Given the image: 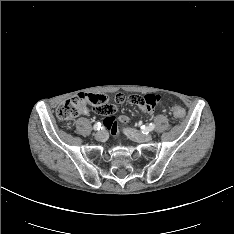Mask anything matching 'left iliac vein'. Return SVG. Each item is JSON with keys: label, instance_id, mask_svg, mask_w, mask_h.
<instances>
[{"label": "left iliac vein", "instance_id": "obj_1", "mask_svg": "<svg viewBox=\"0 0 234 234\" xmlns=\"http://www.w3.org/2000/svg\"><path fill=\"white\" fill-rule=\"evenodd\" d=\"M124 133L133 141L139 142V143H144V142H149L152 139L151 134H144L139 131H136L131 128H125Z\"/></svg>", "mask_w": 234, "mask_h": 234}]
</instances>
